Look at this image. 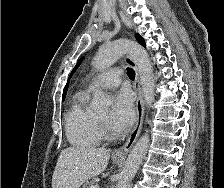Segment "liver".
<instances>
[{"label":"liver","mask_w":224,"mask_h":188,"mask_svg":"<svg viewBox=\"0 0 224 188\" xmlns=\"http://www.w3.org/2000/svg\"><path fill=\"white\" fill-rule=\"evenodd\" d=\"M109 157L110 150L105 148H65L53 172L52 188H79L106 169Z\"/></svg>","instance_id":"6515ba94"}]
</instances>
